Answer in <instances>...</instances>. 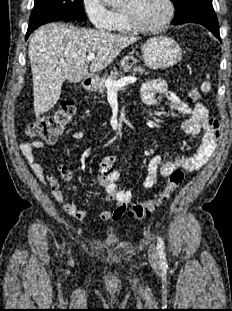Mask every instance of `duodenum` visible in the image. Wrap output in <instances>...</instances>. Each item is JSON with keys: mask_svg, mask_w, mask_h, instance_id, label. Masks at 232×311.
Instances as JSON below:
<instances>
[{"mask_svg": "<svg viewBox=\"0 0 232 311\" xmlns=\"http://www.w3.org/2000/svg\"><path fill=\"white\" fill-rule=\"evenodd\" d=\"M91 83H92L91 78H89V77L85 78V79L82 81L83 88L86 89V90L89 89L90 86H91Z\"/></svg>", "mask_w": 232, "mask_h": 311, "instance_id": "1", "label": "duodenum"}]
</instances>
